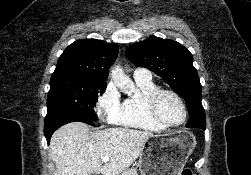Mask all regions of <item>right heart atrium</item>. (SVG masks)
<instances>
[{
  "mask_svg": "<svg viewBox=\"0 0 251 175\" xmlns=\"http://www.w3.org/2000/svg\"><path fill=\"white\" fill-rule=\"evenodd\" d=\"M121 106V96L116 84L112 81L107 82L94 106L98 119L106 123H115Z\"/></svg>",
  "mask_w": 251,
  "mask_h": 175,
  "instance_id": "d8ad5b80",
  "label": "right heart atrium"
}]
</instances>
